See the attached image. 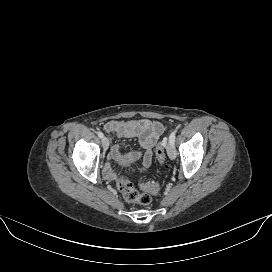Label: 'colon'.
Wrapping results in <instances>:
<instances>
[{"mask_svg":"<svg viewBox=\"0 0 272 272\" xmlns=\"http://www.w3.org/2000/svg\"><path fill=\"white\" fill-rule=\"evenodd\" d=\"M155 154L159 163L164 164L166 155L163 144L157 146ZM116 186L127 202L138 203L141 205L150 204L152 201V194H155L159 191L158 183L142 182L141 188L143 189V192H139L135 189L134 185L129 180L123 177L117 179Z\"/></svg>","mask_w":272,"mask_h":272,"instance_id":"1","label":"colon"}]
</instances>
